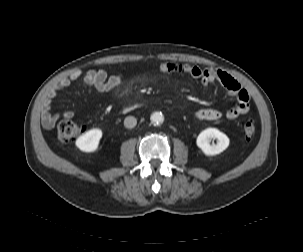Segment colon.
<instances>
[{
	"label": "colon",
	"mask_w": 303,
	"mask_h": 252,
	"mask_svg": "<svg viewBox=\"0 0 303 252\" xmlns=\"http://www.w3.org/2000/svg\"><path fill=\"white\" fill-rule=\"evenodd\" d=\"M81 128L71 120L62 121L58 126L59 137L67 142L73 141L80 134ZM243 136L246 139L252 138L256 133V125L253 122H246L242 127Z\"/></svg>",
	"instance_id": "obj_1"
}]
</instances>
